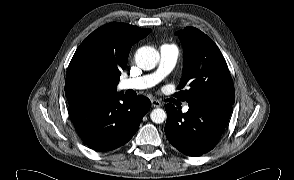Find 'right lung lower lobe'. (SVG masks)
I'll use <instances>...</instances> for the list:
<instances>
[{"label": "right lung lower lobe", "mask_w": 294, "mask_h": 180, "mask_svg": "<svg viewBox=\"0 0 294 180\" xmlns=\"http://www.w3.org/2000/svg\"><path fill=\"white\" fill-rule=\"evenodd\" d=\"M150 106L144 96L129 99L123 93H114L70 105L68 112L86 145L109 151L133 137Z\"/></svg>", "instance_id": "98d812e1"}]
</instances>
